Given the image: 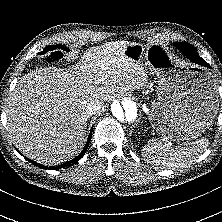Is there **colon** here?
<instances>
[{"mask_svg": "<svg viewBox=\"0 0 222 222\" xmlns=\"http://www.w3.org/2000/svg\"><path fill=\"white\" fill-rule=\"evenodd\" d=\"M61 57H62L61 55L54 53V54L50 55L47 60H48V62L53 63V62L60 60Z\"/></svg>", "mask_w": 222, "mask_h": 222, "instance_id": "colon-1", "label": "colon"}]
</instances>
